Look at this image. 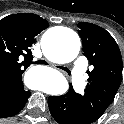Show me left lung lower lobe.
I'll list each match as a JSON object with an SVG mask.
<instances>
[{"mask_svg":"<svg viewBox=\"0 0 124 124\" xmlns=\"http://www.w3.org/2000/svg\"><path fill=\"white\" fill-rule=\"evenodd\" d=\"M48 106L52 117L59 124H87L78 108L75 91L72 86L62 96H50Z\"/></svg>","mask_w":124,"mask_h":124,"instance_id":"0a47b994","label":"left lung lower lobe"}]
</instances>
